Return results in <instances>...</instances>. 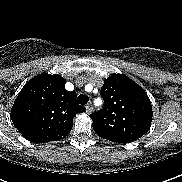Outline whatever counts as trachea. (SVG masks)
I'll use <instances>...</instances> for the list:
<instances>
[{
	"mask_svg": "<svg viewBox=\"0 0 182 182\" xmlns=\"http://www.w3.org/2000/svg\"><path fill=\"white\" fill-rule=\"evenodd\" d=\"M89 101V97L84 95V94H81L78 96V103L81 104V105H85L87 104V102Z\"/></svg>",
	"mask_w": 182,
	"mask_h": 182,
	"instance_id": "trachea-1",
	"label": "trachea"
}]
</instances>
